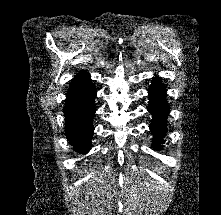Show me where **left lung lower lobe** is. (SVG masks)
<instances>
[{"mask_svg":"<svg viewBox=\"0 0 221 215\" xmlns=\"http://www.w3.org/2000/svg\"><path fill=\"white\" fill-rule=\"evenodd\" d=\"M150 102L148 111L152 114L153 120L150 124V130L154 134L153 147L158 146L159 140L166 133V118L169 113V107L166 101V89L159 80V77L153 78L149 88Z\"/></svg>","mask_w":221,"mask_h":215,"instance_id":"1","label":"left lung lower lobe"}]
</instances>
